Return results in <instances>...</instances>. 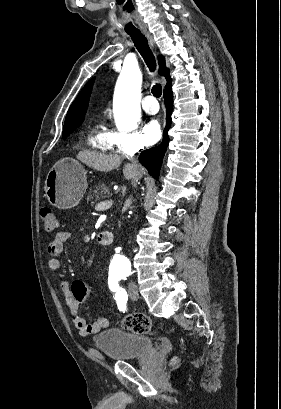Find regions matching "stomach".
Instances as JSON below:
<instances>
[{
    "instance_id": "obj_1",
    "label": "stomach",
    "mask_w": 281,
    "mask_h": 409,
    "mask_svg": "<svg viewBox=\"0 0 281 409\" xmlns=\"http://www.w3.org/2000/svg\"><path fill=\"white\" fill-rule=\"evenodd\" d=\"M87 188L86 170L75 158L65 156L55 162L45 180L46 196L57 209H72Z\"/></svg>"
}]
</instances>
